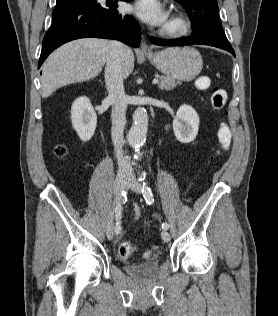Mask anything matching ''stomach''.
Listing matches in <instances>:
<instances>
[{
  "instance_id": "obj_1",
  "label": "stomach",
  "mask_w": 278,
  "mask_h": 316,
  "mask_svg": "<svg viewBox=\"0 0 278 316\" xmlns=\"http://www.w3.org/2000/svg\"><path fill=\"white\" fill-rule=\"evenodd\" d=\"M147 57L161 73L179 81L193 80L203 67L200 53L189 47L167 48Z\"/></svg>"
}]
</instances>
